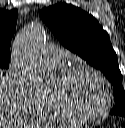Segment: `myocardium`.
I'll return each instance as SVG.
<instances>
[{"mask_svg":"<svg viewBox=\"0 0 125 128\" xmlns=\"http://www.w3.org/2000/svg\"><path fill=\"white\" fill-rule=\"evenodd\" d=\"M82 71H88L93 73L95 76L98 77V79L101 81L103 85L104 94H105V103L100 111L94 114L79 113L70 107V105L64 99L61 91L51 92V96L58 110L64 116H66L70 121L79 122V123H88V122L99 120L100 118H102L104 115L108 113L111 107L112 94H111L110 84L106 79V77L102 74V72L86 64L75 65L73 67L68 68L67 70H64L58 78L60 85L64 86L68 81L71 80V78L75 74Z\"/></svg>","mask_w":125,"mask_h":128,"instance_id":"1","label":"myocardium"}]
</instances>
